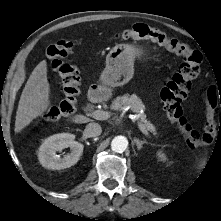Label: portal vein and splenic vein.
I'll list each match as a JSON object with an SVG mask.
<instances>
[{
    "instance_id": "18ae733b",
    "label": "portal vein and splenic vein",
    "mask_w": 221,
    "mask_h": 221,
    "mask_svg": "<svg viewBox=\"0 0 221 221\" xmlns=\"http://www.w3.org/2000/svg\"><path fill=\"white\" fill-rule=\"evenodd\" d=\"M91 116L96 120H107L108 118H110V113L107 111H104V110H93L91 112ZM138 128L146 136L149 135L147 130L145 129V127L141 123H138Z\"/></svg>"
}]
</instances>
